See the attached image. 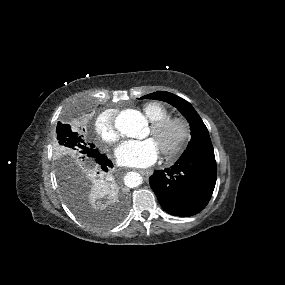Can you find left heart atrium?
Wrapping results in <instances>:
<instances>
[{"instance_id": "left-heart-atrium-1", "label": "left heart atrium", "mask_w": 285, "mask_h": 285, "mask_svg": "<svg viewBox=\"0 0 285 285\" xmlns=\"http://www.w3.org/2000/svg\"><path fill=\"white\" fill-rule=\"evenodd\" d=\"M117 160L125 166L147 167L157 161L160 147L153 138L145 140H128L115 151Z\"/></svg>"}]
</instances>
